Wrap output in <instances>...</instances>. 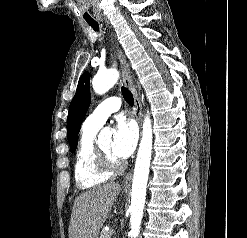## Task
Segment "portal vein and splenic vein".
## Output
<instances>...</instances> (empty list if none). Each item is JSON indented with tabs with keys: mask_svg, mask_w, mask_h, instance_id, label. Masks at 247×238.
<instances>
[{
	"mask_svg": "<svg viewBox=\"0 0 247 238\" xmlns=\"http://www.w3.org/2000/svg\"><path fill=\"white\" fill-rule=\"evenodd\" d=\"M110 232L113 235L115 233V230L114 229H111Z\"/></svg>",
	"mask_w": 247,
	"mask_h": 238,
	"instance_id": "obj_1",
	"label": "portal vein and splenic vein"
}]
</instances>
